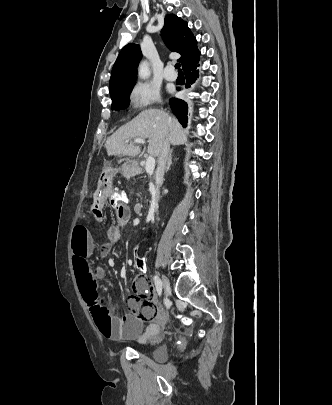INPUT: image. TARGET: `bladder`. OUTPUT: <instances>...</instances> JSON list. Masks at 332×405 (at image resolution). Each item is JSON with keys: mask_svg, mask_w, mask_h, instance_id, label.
Listing matches in <instances>:
<instances>
[{"mask_svg": "<svg viewBox=\"0 0 332 405\" xmlns=\"http://www.w3.org/2000/svg\"><path fill=\"white\" fill-rule=\"evenodd\" d=\"M162 338H163V335L160 334V335L158 336V338L152 342V344H154V345L160 344V342L162 341ZM167 357H168V350H167L166 346H164V345H158V346L153 350L152 358H153L155 361L164 362V361L167 360Z\"/></svg>", "mask_w": 332, "mask_h": 405, "instance_id": "bladder-1", "label": "bladder"}]
</instances>
